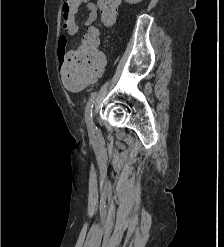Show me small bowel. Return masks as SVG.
<instances>
[{"mask_svg": "<svg viewBox=\"0 0 224 247\" xmlns=\"http://www.w3.org/2000/svg\"><path fill=\"white\" fill-rule=\"evenodd\" d=\"M81 4H86L87 9L89 10V15L87 20L84 23L86 28H89L95 19L98 16L99 10L95 3L91 2L90 0H80ZM63 28L65 30V34L61 35L58 41L57 46V57L61 63L65 62L70 55V52L67 50V38L68 36H73L78 33L79 27L75 22V19L64 22L63 21Z\"/></svg>", "mask_w": 224, "mask_h": 247, "instance_id": "small-bowel-1", "label": "small bowel"}]
</instances>
